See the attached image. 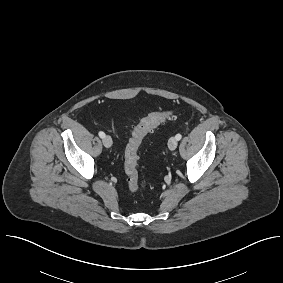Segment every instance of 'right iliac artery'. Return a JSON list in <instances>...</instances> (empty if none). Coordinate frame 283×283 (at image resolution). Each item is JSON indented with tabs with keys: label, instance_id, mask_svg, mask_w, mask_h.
I'll return each mask as SVG.
<instances>
[{
	"label": "right iliac artery",
	"instance_id": "obj_1",
	"mask_svg": "<svg viewBox=\"0 0 283 283\" xmlns=\"http://www.w3.org/2000/svg\"><path fill=\"white\" fill-rule=\"evenodd\" d=\"M99 136H100L101 138H104V137H105V133L102 132V131H100V132H99Z\"/></svg>",
	"mask_w": 283,
	"mask_h": 283
}]
</instances>
